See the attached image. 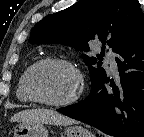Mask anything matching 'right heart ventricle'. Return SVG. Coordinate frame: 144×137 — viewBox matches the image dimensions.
<instances>
[{"label":"right heart ventricle","mask_w":144,"mask_h":137,"mask_svg":"<svg viewBox=\"0 0 144 137\" xmlns=\"http://www.w3.org/2000/svg\"><path fill=\"white\" fill-rule=\"evenodd\" d=\"M29 68L30 67H28L20 76V79L17 85V90H16V95H17L18 100L21 102H25V103L32 101L25 90V80H26V75H27Z\"/></svg>","instance_id":"right-heart-ventricle-1"}]
</instances>
